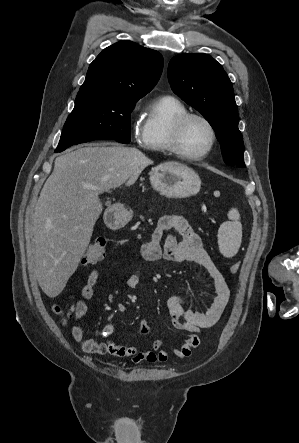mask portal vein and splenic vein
<instances>
[{
  "mask_svg": "<svg viewBox=\"0 0 299 443\" xmlns=\"http://www.w3.org/2000/svg\"><path fill=\"white\" fill-rule=\"evenodd\" d=\"M87 188L93 189V190H97L98 189L97 187H89V186Z\"/></svg>",
  "mask_w": 299,
  "mask_h": 443,
  "instance_id": "obj_1",
  "label": "portal vein and splenic vein"
}]
</instances>
